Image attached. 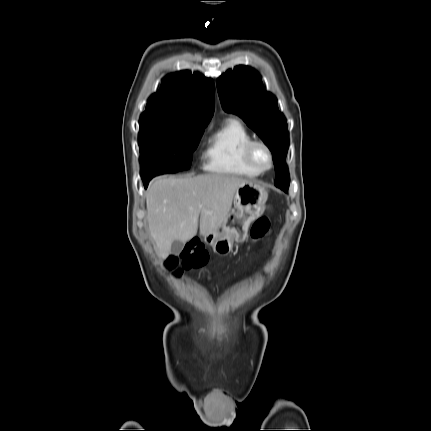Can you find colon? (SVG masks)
<instances>
[{"mask_svg": "<svg viewBox=\"0 0 431 431\" xmlns=\"http://www.w3.org/2000/svg\"><path fill=\"white\" fill-rule=\"evenodd\" d=\"M270 228L268 217L259 218L251 227L250 236L259 239L267 234ZM207 261V253L198 243H191L178 256H172L168 260V266L175 269L179 263L184 269L198 268Z\"/></svg>", "mask_w": 431, "mask_h": 431, "instance_id": "obj_1", "label": "colon"}]
</instances>
